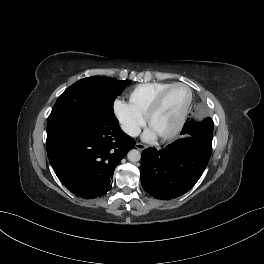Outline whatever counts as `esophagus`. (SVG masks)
<instances>
[{"mask_svg": "<svg viewBox=\"0 0 264 264\" xmlns=\"http://www.w3.org/2000/svg\"><path fill=\"white\" fill-rule=\"evenodd\" d=\"M135 147L139 150V151H142L146 148V146L142 143H136Z\"/></svg>", "mask_w": 264, "mask_h": 264, "instance_id": "esophagus-1", "label": "esophagus"}]
</instances>
